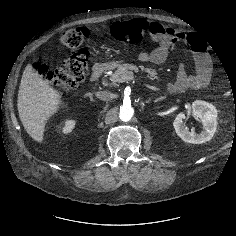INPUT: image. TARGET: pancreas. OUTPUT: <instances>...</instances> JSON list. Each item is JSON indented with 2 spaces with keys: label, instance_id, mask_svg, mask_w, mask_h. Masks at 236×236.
<instances>
[{
  "label": "pancreas",
  "instance_id": "pancreas-1",
  "mask_svg": "<svg viewBox=\"0 0 236 236\" xmlns=\"http://www.w3.org/2000/svg\"><path fill=\"white\" fill-rule=\"evenodd\" d=\"M139 68L148 73V77L153 79L157 78V72L151 68H145L144 66H136L133 64H123L119 65L117 70L111 74L110 80L112 85H116V82L119 81L122 77L133 76V72H138Z\"/></svg>",
  "mask_w": 236,
  "mask_h": 236
}]
</instances>
